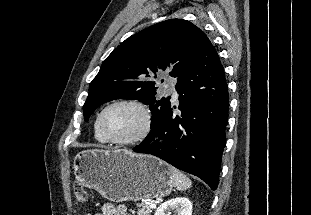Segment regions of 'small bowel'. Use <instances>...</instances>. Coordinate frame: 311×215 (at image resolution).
<instances>
[{"label":"small bowel","instance_id":"c3829d8e","mask_svg":"<svg viewBox=\"0 0 311 215\" xmlns=\"http://www.w3.org/2000/svg\"><path fill=\"white\" fill-rule=\"evenodd\" d=\"M84 215H131L125 205H114L112 203H105L101 211L98 213H86Z\"/></svg>","mask_w":311,"mask_h":215}]
</instances>
